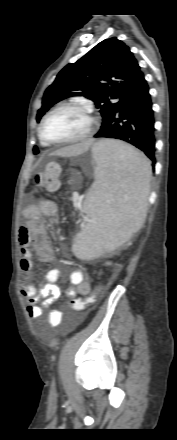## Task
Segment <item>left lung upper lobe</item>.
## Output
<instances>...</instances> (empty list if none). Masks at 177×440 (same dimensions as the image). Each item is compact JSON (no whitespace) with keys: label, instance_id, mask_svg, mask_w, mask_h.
Segmentation results:
<instances>
[{"label":"left lung upper lobe","instance_id":"5c2ea615","mask_svg":"<svg viewBox=\"0 0 177 440\" xmlns=\"http://www.w3.org/2000/svg\"><path fill=\"white\" fill-rule=\"evenodd\" d=\"M141 73L137 60L124 42L116 37L105 39L59 72L44 93L36 120L39 122L55 103L70 96H84L100 108L104 124ZM116 98L120 101H112ZM33 152L38 153L36 146Z\"/></svg>","mask_w":177,"mask_h":440}]
</instances>
